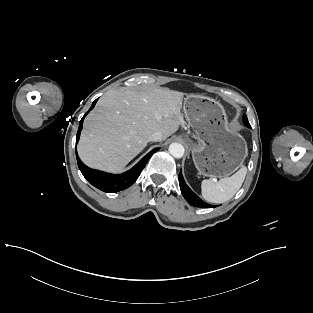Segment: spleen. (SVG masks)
Segmentation results:
<instances>
[{
  "mask_svg": "<svg viewBox=\"0 0 313 313\" xmlns=\"http://www.w3.org/2000/svg\"><path fill=\"white\" fill-rule=\"evenodd\" d=\"M247 168L241 167L231 177L220 179L214 183L213 180H203L201 183V193L203 198L210 203H224L231 199L242 186Z\"/></svg>",
  "mask_w": 313,
  "mask_h": 313,
  "instance_id": "1",
  "label": "spleen"
}]
</instances>
